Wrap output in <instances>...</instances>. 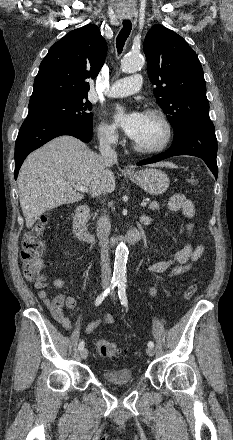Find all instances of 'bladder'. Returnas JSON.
I'll use <instances>...</instances> for the list:
<instances>
[{
  "instance_id": "obj_1",
  "label": "bladder",
  "mask_w": 233,
  "mask_h": 440,
  "mask_svg": "<svg viewBox=\"0 0 233 440\" xmlns=\"http://www.w3.org/2000/svg\"><path fill=\"white\" fill-rule=\"evenodd\" d=\"M104 379L111 385L120 386L132 381V372L129 368L107 370L103 373Z\"/></svg>"
}]
</instances>
